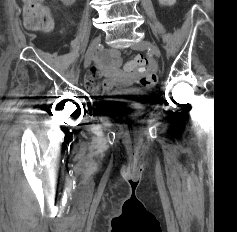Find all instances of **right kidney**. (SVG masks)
Instances as JSON below:
<instances>
[{
    "label": "right kidney",
    "instance_id": "right-kidney-1",
    "mask_svg": "<svg viewBox=\"0 0 237 232\" xmlns=\"http://www.w3.org/2000/svg\"><path fill=\"white\" fill-rule=\"evenodd\" d=\"M64 5L70 6L72 5L76 0H61Z\"/></svg>",
    "mask_w": 237,
    "mask_h": 232
}]
</instances>
